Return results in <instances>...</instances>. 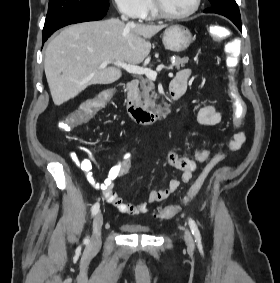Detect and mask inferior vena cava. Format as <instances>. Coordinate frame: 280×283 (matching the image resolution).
<instances>
[{
	"label": "inferior vena cava",
	"instance_id": "602c4592",
	"mask_svg": "<svg viewBox=\"0 0 280 283\" xmlns=\"http://www.w3.org/2000/svg\"><path fill=\"white\" fill-rule=\"evenodd\" d=\"M121 18L122 20H127V18L124 15H122ZM129 24H132V23H129Z\"/></svg>",
	"mask_w": 280,
	"mask_h": 283
}]
</instances>
